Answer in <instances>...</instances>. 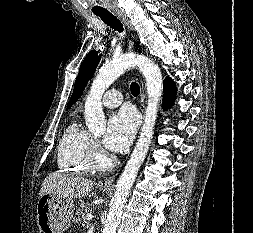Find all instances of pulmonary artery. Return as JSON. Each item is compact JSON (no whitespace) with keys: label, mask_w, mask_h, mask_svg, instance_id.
<instances>
[{"label":"pulmonary artery","mask_w":253,"mask_h":233,"mask_svg":"<svg viewBox=\"0 0 253 233\" xmlns=\"http://www.w3.org/2000/svg\"><path fill=\"white\" fill-rule=\"evenodd\" d=\"M123 101L122 93L117 89L106 91L102 97V104L108 108H114L120 105Z\"/></svg>","instance_id":"pulmonary-artery-1"}]
</instances>
